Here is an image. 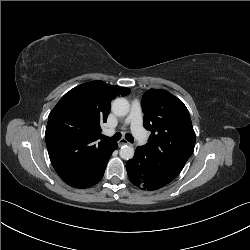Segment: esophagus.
<instances>
[{
  "mask_svg": "<svg viewBox=\"0 0 250 250\" xmlns=\"http://www.w3.org/2000/svg\"><path fill=\"white\" fill-rule=\"evenodd\" d=\"M130 143L126 140V139H124V138H122V139H120L119 141H118V146L119 147H121V146H123V145H129Z\"/></svg>",
  "mask_w": 250,
  "mask_h": 250,
  "instance_id": "34e87169",
  "label": "esophagus"
}]
</instances>
